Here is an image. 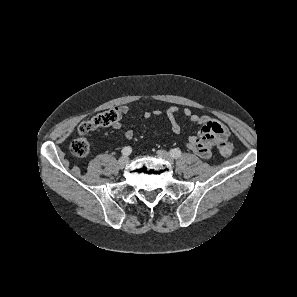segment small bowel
<instances>
[{
    "mask_svg": "<svg viewBox=\"0 0 297 297\" xmlns=\"http://www.w3.org/2000/svg\"><path fill=\"white\" fill-rule=\"evenodd\" d=\"M119 117L126 115L130 111V106L122 105L117 108ZM178 108L176 106H171L166 110V116L169 120L171 130L174 133H179L181 127L177 121L176 115ZM160 112L155 110L153 112H145L144 117L150 119L153 115H159ZM183 114L189 118L190 121L200 124L201 129L196 136H191L188 139L187 147L203 159H209L212 154V148L215 144L228 136L227 129L219 122L214 121L210 116L198 115L191 111V109L186 108L183 110ZM122 127L120 121L118 120L113 124V128L120 129ZM126 139L131 140L134 137V131L128 129L124 132Z\"/></svg>",
    "mask_w": 297,
    "mask_h": 297,
    "instance_id": "1",
    "label": "small bowel"
}]
</instances>
